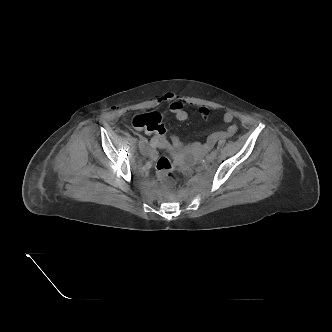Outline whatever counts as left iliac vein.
I'll use <instances>...</instances> for the list:
<instances>
[{
    "label": "left iliac vein",
    "mask_w": 332,
    "mask_h": 332,
    "mask_svg": "<svg viewBox=\"0 0 332 332\" xmlns=\"http://www.w3.org/2000/svg\"><path fill=\"white\" fill-rule=\"evenodd\" d=\"M215 159V156H213L212 154H208L206 156V161L207 162H212Z\"/></svg>",
    "instance_id": "1"
}]
</instances>
